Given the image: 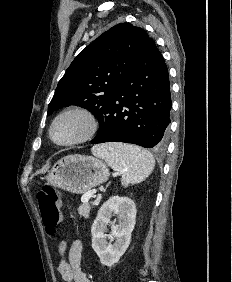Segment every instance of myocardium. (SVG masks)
I'll use <instances>...</instances> for the list:
<instances>
[{
    "instance_id": "f54148a6",
    "label": "myocardium",
    "mask_w": 232,
    "mask_h": 282,
    "mask_svg": "<svg viewBox=\"0 0 232 282\" xmlns=\"http://www.w3.org/2000/svg\"><path fill=\"white\" fill-rule=\"evenodd\" d=\"M67 118H78L82 120L84 128L78 136L66 141H58L53 136L54 128L59 122ZM98 127L97 117L92 111L84 107H71L61 111L53 118L48 128V136L50 141L58 147H73L91 140L96 135Z\"/></svg>"
}]
</instances>
